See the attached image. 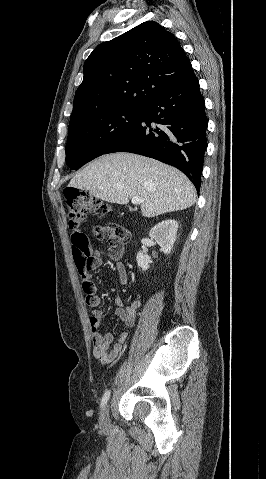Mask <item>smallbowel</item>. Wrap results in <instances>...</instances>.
Wrapping results in <instances>:
<instances>
[{"instance_id":"c3829d8e","label":"small bowel","mask_w":266,"mask_h":479,"mask_svg":"<svg viewBox=\"0 0 266 479\" xmlns=\"http://www.w3.org/2000/svg\"><path fill=\"white\" fill-rule=\"evenodd\" d=\"M114 244H110V250ZM119 245V244H116ZM110 254V253H109ZM121 256L110 258L113 260H118ZM104 262V258L101 253H95L91 258V266L93 268L100 267ZM115 270L117 273L118 280L121 284H126L128 281V275L124 264L121 262H115ZM117 308L115 310V315L124 322L127 327H133L136 323L137 312L141 306V301L139 299H134L127 306L123 305L122 299L117 296L115 298ZM100 300L98 298L95 308L92 311L91 317L89 318V325L92 333V342H93V356L102 364H109L115 360L120 352L123 350L126 345L129 334L127 332H122L117 341L111 346L113 335L110 332L101 333L100 327L101 322L104 317V310L99 306Z\"/></svg>"}]
</instances>
